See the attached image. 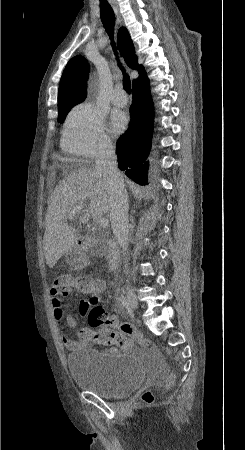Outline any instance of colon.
Masks as SVG:
<instances>
[{
	"mask_svg": "<svg viewBox=\"0 0 245 450\" xmlns=\"http://www.w3.org/2000/svg\"><path fill=\"white\" fill-rule=\"evenodd\" d=\"M61 286L75 288L79 291L90 293L94 286L85 275L67 276L59 283ZM87 319L91 328H100L98 331L84 330L80 333L81 338L85 340H94L104 345H118L125 347L132 341L144 342V339L128 323L121 322L116 316L110 315L108 311L95 299L86 307ZM117 326L120 331L114 330ZM174 383L172 377L167 380V386ZM141 399L150 403L153 401V395L150 391L143 392Z\"/></svg>",
	"mask_w": 245,
	"mask_h": 450,
	"instance_id": "1",
	"label": "colon"
}]
</instances>
